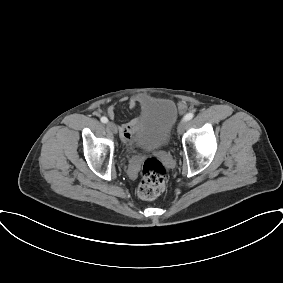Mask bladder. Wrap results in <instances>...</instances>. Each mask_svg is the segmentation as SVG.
Listing matches in <instances>:
<instances>
[{
    "label": "bladder",
    "instance_id": "31cf9c89",
    "mask_svg": "<svg viewBox=\"0 0 283 283\" xmlns=\"http://www.w3.org/2000/svg\"><path fill=\"white\" fill-rule=\"evenodd\" d=\"M177 119V107L172 100L153 101L142 115L138 145L152 148L165 147L170 141Z\"/></svg>",
    "mask_w": 283,
    "mask_h": 283
}]
</instances>
